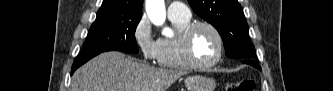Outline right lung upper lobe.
Segmentation results:
<instances>
[{
  "label": "right lung upper lobe",
  "mask_w": 333,
  "mask_h": 91,
  "mask_svg": "<svg viewBox=\"0 0 333 91\" xmlns=\"http://www.w3.org/2000/svg\"><path fill=\"white\" fill-rule=\"evenodd\" d=\"M143 0H103L97 18L107 16H142Z\"/></svg>",
  "instance_id": "right-lung-upper-lobe-1"
}]
</instances>
